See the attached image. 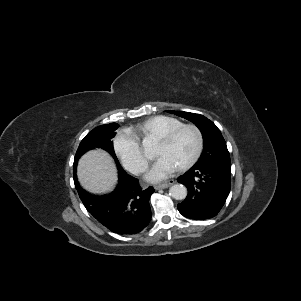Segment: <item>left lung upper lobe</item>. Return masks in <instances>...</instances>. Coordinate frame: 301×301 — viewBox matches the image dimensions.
<instances>
[{
  "label": "left lung upper lobe",
  "mask_w": 301,
  "mask_h": 301,
  "mask_svg": "<svg viewBox=\"0 0 301 301\" xmlns=\"http://www.w3.org/2000/svg\"><path fill=\"white\" fill-rule=\"evenodd\" d=\"M193 122L203 136V152L195 165L222 164L231 166L226 142L216 125L206 117L184 111H167Z\"/></svg>",
  "instance_id": "obj_1"
}]
</instances>
